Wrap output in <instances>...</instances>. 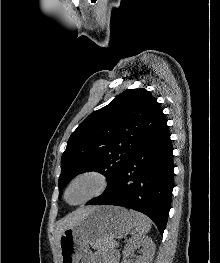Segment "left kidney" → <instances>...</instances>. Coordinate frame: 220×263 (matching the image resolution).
<instances>
[{"label":"left kidney","instance_id":"left-kidney-1","mask_svg":"<svg viewBox=\"0 0 220 263\" xmlns=\"http://www.w3.org/2000/svg\"><path fill=\"white\" fill-rule=\"evenodd\" d=\"M140 245L143 247V256L138 257L136 263H150L154 256L155 244L150 237L144 235H135L129 240L123 251L124 258L130 255L134 249Z\"/></svg>","mask_w":220,"mask_h":263}]
</instances>
